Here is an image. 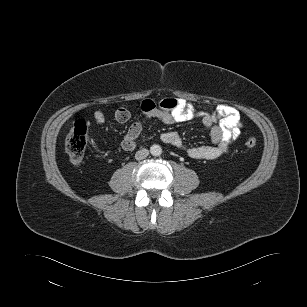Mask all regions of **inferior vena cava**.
Segmentation results:
<instances>
[{
	"instance_id": "602c4592",
	"label": "inferior vena cava",
	"mask_w": 307,
	"mask_h": 307,
	"mask_svg": "<svg viewBox=\"0 0 307 307\" xmlns=\"http://www.w3.org/2000/svg\"><path fill=\"white\" fill-rule=\"evenodd\" d=\"M149 155V151L147 149H140L136 152L135 158L136 160L145 159Z\"/></svg>"
}]
</instances>
